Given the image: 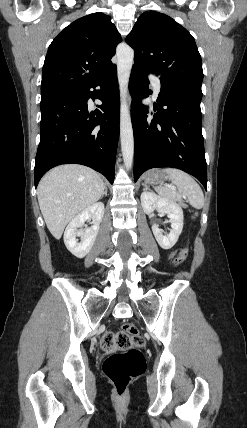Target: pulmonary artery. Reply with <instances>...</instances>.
<instances>
[{
    "label": "pulmonary artery",
    "mask_w": 247,
    "mask_h": 428,
    "mask_svg": "<svg viewBox=\"0 0 247 428\" xmlns=\"http://www.w3.org/2000/svg\"><path fill=\"white\" fill-rule=\"evenodd\" d=\"M150 78H151V81H152L155 93L159 94L160 93V89H161L159 79L157 77L153 76V75H151Z\"/></svg>",
    "instance_id": "e3ab8cb5"
}]
</instances>
